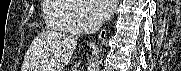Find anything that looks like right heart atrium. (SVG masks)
<instances>
[{"label": "right heart atrium", "instance_id": "d8ad5b80", "mask_svg": "<svg viewBox=\"0 0 181 71\" xmlns=\"http://www.w3.org/2000/svg\"><path fill=\"white\" fill-rule=\"evenodd\" d=\"M71 7L66 15L70 32L82 33L90 30L95 21L82 0H57Z\"/></svg>", "mask_w": 181, "mask_h": 71}]
</instances>
